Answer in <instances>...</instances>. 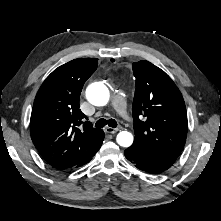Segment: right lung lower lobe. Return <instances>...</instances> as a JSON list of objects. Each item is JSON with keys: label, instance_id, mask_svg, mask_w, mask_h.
Listing matches in <instances>:
<instances>
[{"label": "right lung lower lobe", "instance_id": "right-lung-lower-lobe-1", "mask_svg": "<svg viewBox=\"0 0 221 221\" xmlns=\"http://www.w3.org/2000/svg\"><path fill=\"white\" fill-rule=\"evenodd\" d=\"M102 142H103V141H102ZM97 151H98V150H97ZM94 155H95V154H94ZM94 155H93V156H94ZM91 158H92V157H91ZM91 158L85 160L84 162H82V163H80V164H78V165H76V166H74V167H72V168H77V167H80V166H82V165L88 163V162L91 160ZM70 169H71V168H70Z\"/></svg>", "mask_w": 221, "mask_h": 221}]
</instances>
